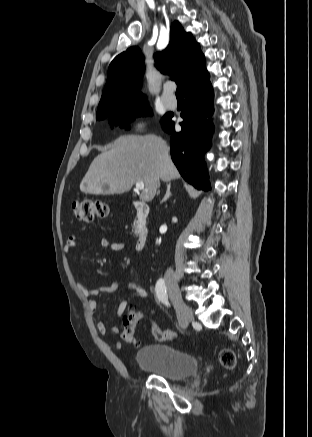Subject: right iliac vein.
Listing matches in <instances>:
<instances>
[{"label":"right iliac vein","instance_id":"1","mask_svg":"<svg viewBox=\"0 0 312 437\" xmlns=\"http://www.w3.org/2000/svg\"><path fill=\"white\" fill-rule=\"evenodd\" d=\"M168 292L174 307L181 314L179 319L180 326L186 328L189 319L193 317V313L183 301L179 288L176 282L172 281L171 277L168 278Z\"/></svg>","mask_w":312,"mask_h":437}]
</instances>
